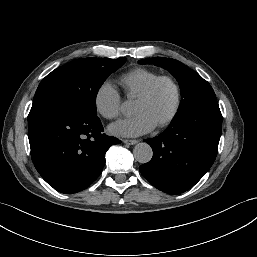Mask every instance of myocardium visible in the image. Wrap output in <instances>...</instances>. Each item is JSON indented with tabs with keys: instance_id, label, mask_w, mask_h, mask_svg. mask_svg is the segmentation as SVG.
I'll return each instance as SVG.
<instances>
[{
	"instance_id": "obj_1",
	"label": "myocardium",
	"mask_w": 257,
	"mask_h": 257,
	"mask_svg": "<svg viewBox=\"0 0 257 257\" xmlns=\"http://www.w3.org/2000/svg\"><path fill=\"white\" fill-rule=\"evenodd\" d=\"M162 81H167L172 85V87L174 89V93H175V103H174V107H173L170 115L165 120H163L161 123H159L157 125V128H160V129L169 126L177 118V116L180 112L181 105H182V92H181V88H180V85L177 82V80L173 76H170V75H159L154 80H152L143 89V91L135 98V100H146L147 98H149L151 96V94L153 93L155 88Z\"/></svg>"
}]
</instances>
